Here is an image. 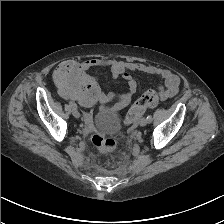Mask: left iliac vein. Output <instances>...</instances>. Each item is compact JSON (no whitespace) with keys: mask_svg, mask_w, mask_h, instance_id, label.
I'll return each mask as SVG.
<instances>
[{"mask_svg":"<svg viewBox=\"0 0 224 224\" xmlns=\"http://www.w3.org/2000/svg\"><path fill=\"white\" fill-rule=\"evenodd\" d=\"M147 123H148V119L145 117L141 118V120L139 122L140 126H142V127L146 126Z\"/></svg>","mask_w":224,"mask_h":224,"instance_id":"4c4485c4","label":"left iliac vein"}]
</instances>
